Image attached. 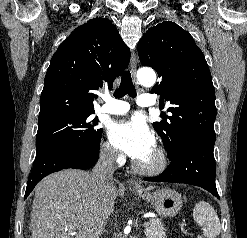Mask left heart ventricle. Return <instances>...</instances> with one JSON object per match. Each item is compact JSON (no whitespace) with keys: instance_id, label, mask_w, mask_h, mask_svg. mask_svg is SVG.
Segmentation results:
<instances>
[{"instance_id":"left-heart-ventricle-1","label":"left heart ventricle","mask_w":247,"mask_h":238,"mask_svg":"<svg viewBox=\"0 0 247 238\" xmlns=\"http://www.w3.org/2000/svg\"><path fill=\"white\" fill-rule=\"evenodd\" d=\"M153 161H154L153 151L151 153H149L148 155H146L144 158L139 160V162H141L145 165H150L153 163Z\"/></svg>"}]
</instances>
